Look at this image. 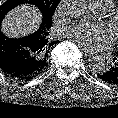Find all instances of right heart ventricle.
<instances>
[{"label":"right heart ventricle","mask_w":118,"mask_h":118,"mask_svg":"<svg viewBox=\"0 0 118 118\" xmlns=\"http://www.w3.org/2000/svg\"><path fill=\"white\" fill-rule=\"evenodd\" d=\"M91 8L99 13H105L115 6L114 0H89Z\"/></svg>","instance_id":"1"}]
</instances>
